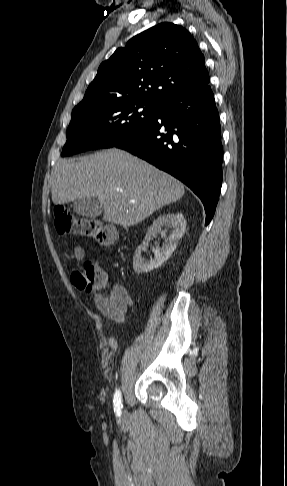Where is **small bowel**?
Instances as JSON below:
<instances>
[{"label": "small bowel", "instance_id": "small-bowel-1", "mask_svg": "<svg viewBox=\"0 0 287 486\" xmlns=\"http://www.w3.org/2000/svg\"><path fill=\"white\" fill-rule=\"evenodd\" d=\"M84 257V249L76 247L74 249V259L82 261ZM94 302L102 314L119 323L124 321L126 312L133 305V300L128 291L119 283L112 284L107 295L96 294Z\"/></svg>", "mask_w": 287, "mask_h": 486}]
</instances>
